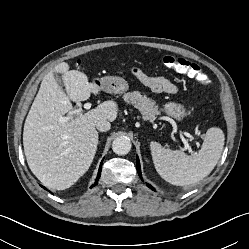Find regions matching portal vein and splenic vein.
Listing matches in <instances>:
<instances>
[{
  "mask_svg": "<svg viewBox=\"0 0 249 249\" xmlns=\"http://www.w3.org/2000/svg\"><path fill=\"white\" fill-rule=\"evenodd\" d=\"M84 108H85L86 110L90 109V108H91V103H86V104L84 105ZM82 113H83V110H82V109H77V110H75V111H73V112H70L69 115L64 116V117H61V118L59 119V122L64 123V122L70 121V120L73 119V116H79V115H82ZM183 134H184L185 136H187V137L190 139V141H192V140L195 139V138H194L191 134H189V133L184 132ZM183 142H184V144H185V149H188L189 152L193 153V151H192L191 148L189 147L187 141H186V140H183ZM196 144H198V142H196Z\"/></svg>",
  "mask_w": 249,
  "mask_h": 249,
  "instance_id": "18ae733b",
  "label": "portal vein and splenic vein"
}]
</instances>
